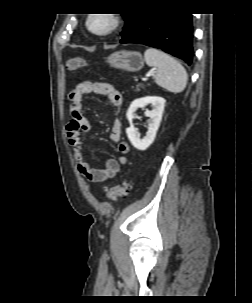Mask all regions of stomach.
<instances>
[{"label":"stomach","mask_w":252,"mask_h":303,"mask_svg":"<svg viewBox=\"0 0 252 303\" xmlns=\"http://www.w3.org/2000/svg\"><path fill=\"white\" fill-rule=\"evenodd\" d=\"M110 66L118 69L135 72L144 66V60L140 53L130 51H117L107 58Z\"/></svg>","instance_id":"0dacf381"}]
</instances>
